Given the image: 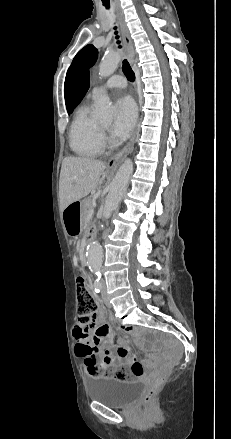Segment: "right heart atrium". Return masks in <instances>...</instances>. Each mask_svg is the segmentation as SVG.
Segmentation results:
<instances>
[{
	"mask_svg": "<svg viewBox=\"0 0 231 439\" xmlns=\"http://www.w3.org/2000/svg\"><path fill=\"white\" fill-rule=\"evenodd\" d=\"M101 139H102V141H105V140H106V136H105L104 133H101Z\"/></svg>",
	"mask_w": 231,
	"mask_h": 439,
	"instance_id": "1",
	"label": "right heart atrium"
}]
</instances>
